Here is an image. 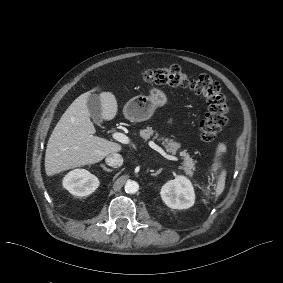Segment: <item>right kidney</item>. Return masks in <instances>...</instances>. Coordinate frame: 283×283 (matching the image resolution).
<instances>
[{"label": "right kidney", "mask_w": 283, "mask_h": 283, "mask_svg": "<svg viewBox=\"0 0 283 283\" xmlns=\"http://www.w3.org/2000/svg\"><path fill=\"white\" fill-rule=\"evenodd\" d=\"M62 184L72 195L84 197L98 188L99 180L85 169H75L63 178Z\"/></svg>", "instance_id": "right-kidney-1"}]
</instances>
